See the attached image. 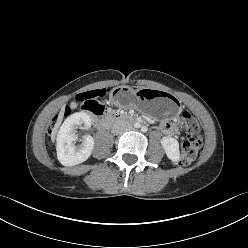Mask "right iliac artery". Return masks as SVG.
<instances>
[{"instance_id": "obj_1", "label": "right iliac artery", "mask_w": 248, "mask_h": 248, "mask_svg": "<svg viewBox=\"0 0 248 248\" xmlns=\"http://www.w3.org/2000/svg\"><path fill=\"white\" fill-rule=\"evenodd\" d=\"M134 126H135L136 128H139V127H140V124H139V123H135Z\"/></svg>"}]
</instances>
